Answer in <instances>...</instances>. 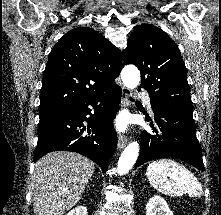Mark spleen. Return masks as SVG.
Masks as SVG:
<instances>
[{
  "label": "spleen",
  "instance_id": "obj_1",
  "mask_svg": "<svg viewBox=\"0 0 221 215\" xmlns=\"http://www.w3.org/2000/svg\"><path fill=\"white\" fill-rule=\"evenodd\" d=\"M146 176L153 188L169 196L188 194L200 197L202 186L185 166L171 159H160L149 164Z\"/></svg>",
  "mask_w": 221,
  "mask_h": 215
}]
</instances>
